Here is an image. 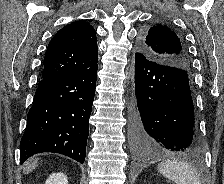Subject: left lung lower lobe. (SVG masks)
I'll return each mask as SVG.
<instances>
[{
    "instance_id": "1",
    "label": "left lung lower lobe",
    "mask_w": 224,
    "mask_h": 184,
    "mask_svg": "<svg viewBox=\"0 0 224 184\" xmlns=\"http://www.w3.org/2000/svg\"><path fill=\"white\" fill-rule=\"evenodd\" d=\"M135 91L133 140L141 153L198 154L202 150L187 70L135 53Z\"/></svg>"
}]
</instances>
